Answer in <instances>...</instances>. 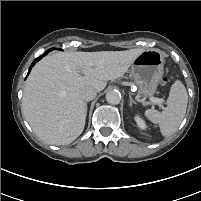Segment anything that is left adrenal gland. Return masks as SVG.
<instances>
[{
  "label": "left adrenal gland",
  "instance_id": "obj_1",
  "mask_svg": "<svg viewBox=\"0 0 201 201\" xmlns=\"http://www.w3.org/2000/svg\"><path fill=\"white\" fill-rule=\"evenodd\" d=\"M129 99H130V102H129L130 106H132L133 104H136V102L133 100L131 95H129Z\"/></svg>",
  "mask_w": 201,
  "mask_h": 201
}]
</instances>
